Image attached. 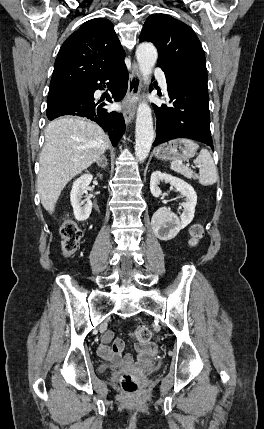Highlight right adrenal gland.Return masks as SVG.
Listing matches in <instances>:
<instances>
[{
	"mask_svg": "<svg viewBox=\"0 0 264 429\" xmlns=\"http://www.w3.org/2000/svg\"><path fill=\"white\" fill-rule=\"evenodd\" d=\"M96 164L101 168H106L108 165L107 158L105 155H101V157L97 160Z\"/></svg>",
	"mask_w": 264,
	"mask_h": 429,
	"instance_id": "right-adrenal-gland-1",
	"label": "right adrenal gland"
}]
</instances>
